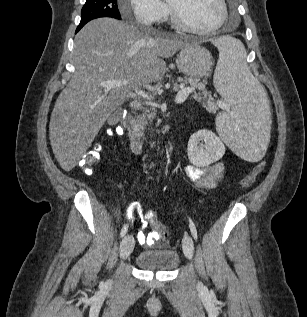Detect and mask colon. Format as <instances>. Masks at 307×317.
<instances>
[{
    "instance_id": "5ec220e1",
    "label": "colon",
    "mask_w": 307,
    "mask_h": 317,
    "mask_svg": "<svg viewBox=\"0 0 307 317\" xmlns=\"http://www.w3.org/2000/svg\"><path fill=\"white\" fill-rule=\"evenodd\" d=\"M127 131L126 121L119 119L113 128L108 130L109 135H124ZM101 146L95 144L88 149L81 160V166L87 173L92 172V167L96 165L100 158ZM266 163L260 161L256 163L253 168L239 181L238 185L241 189H247L256 181L259 174L265 169ZM146 222L160 235L162 238L168 237V231L163 223L158 219L155 212L149 210L144 216Z\"/></svg>"
}]
</instances>
